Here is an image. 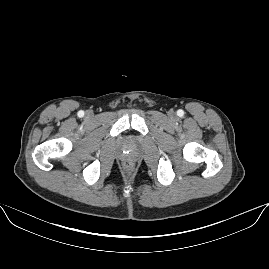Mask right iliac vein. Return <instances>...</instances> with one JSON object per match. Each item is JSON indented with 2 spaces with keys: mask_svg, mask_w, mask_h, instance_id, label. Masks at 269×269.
Returning <instances> with one entry per match:
<instances>
[{
  "mask_svg": "<svg viewBox=\"0 0 269 269\" xmlns=\"http://www.w3.org/2000/svg\"><path fill=\"white\" fill-rule=\"evenodd\" d=\"M87 117H92L91 113H88V114H87Z\"/></svg>",
  "mask_w": 269,
  "mask_h": 269,
  "instance_id": "63e3f726",
  "label": "right iliac vein"
}]
</instances>
